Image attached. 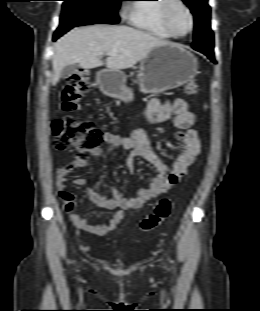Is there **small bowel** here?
I'll list each match as a JSON object with an SVG mask.
<instances>
[{
    "mask_svg": "<svg viewBox=\"0 0 260 311\" xmlns=\"http://www.w3.org/2000/svg\"><path fill=\"white\" fill-rule=\"evenodd\" d=\"M171 118H173V124L177 128L184 130L182 135L184 148L177 154L172 166L162 162L159 155L151 147L147 134L143 129L134 130L130 139L123 138L112 132L103 133V143L111 149L123 148L131 150V155L127 159L130 172L134 170L136 158L145 159L158 172L151 179L148 187L139 189L134 197H125L116 187H111L110 196L87 188V195L95 205L109 209H121L109 221L91 222L80 215L75 209L73 194L67 190L66 184L69 181L70 174L78 168L87 167V162L74 159L58 169L56 174L57 191L63 202V209L76 227L96 234L111 232L124 219L125 210L141 208L148 201L168 192L186 174L188 167L201 152L198 133L193 128L197 121L196 114L189 110L187 102L181 98L164 102L158 98H152L148 102L146 119L149 123L160 124ZM92 154L100 157L102 156V150L98 147L93 150ZM75 183L79 186H85L84 179H76Z\"/></svg>",
    "mask_w": 260,
    "mask_h": 311,
    "instance_id": "1",
    "label": "small bowel"
}]
</instances>
